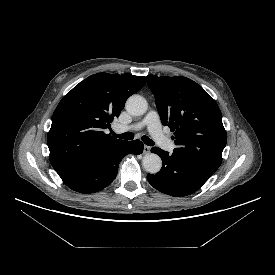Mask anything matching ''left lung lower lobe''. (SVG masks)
<instances>
[{
	"label": "left lung lower lobe",
	"mask_w": 275,
	"mask_h": 275,
	"mask_svg": "<svg viewBox=\"0 0 275 275\" xmlns=\"http://www.w3.org/2000/svg\"><path fill=\"white\" fill-rule=\"evenodd\" d=\"M162 159L161 170L148 174L149 183L162 193L183 197L196 192L213 175L198 164L176 153L169 154L158 147L151 149Z\"/></svg>",
	"instance_id": "1"
}]
</instances>
